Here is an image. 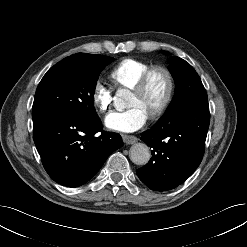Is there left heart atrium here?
<instances>
[{"label":"left heart atrium","mask_w":247,"mask_h":247,"mask_svg":"<svg viewBox=\"0 0 247 247\" xmlns=\"http://www.w3.org/2000/svg\"><path fill=\"white\" fill-rule=\"evenodd\" d=\"M149 115L139 106L127 110L114 111L105 119V125L114 131L130 133L145 125Z\"/></svg>","instance_id":"39dd6f15"}]
</instances>
